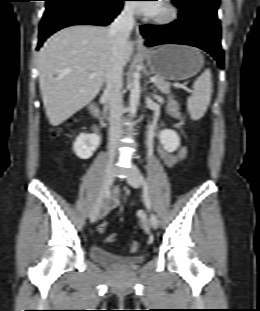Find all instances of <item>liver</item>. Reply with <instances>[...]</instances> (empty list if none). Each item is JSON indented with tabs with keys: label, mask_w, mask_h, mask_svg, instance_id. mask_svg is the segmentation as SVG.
<instances>
[{
	"label": "liver",
	"mask_w": 260,
	"mask_h": 311,
	"mask_svg": "<svg viewBox=\"0 0 260 311\" xmlns=\"http://www.w3.org/2000/svg\"><path fill=\"white\" fill-rule=\"evenodd\" d=\"M108 27L75 25L51 36L39 52V85L46 115L58 126L99 93L113 66L114 38ZM133 44L124 47V65ZM97 73L95 77H90Z\"/></svg>",
	"instance_id": "liver-1"
}]
</instances>
